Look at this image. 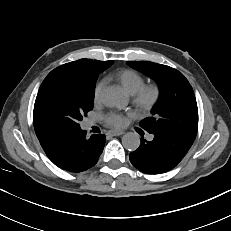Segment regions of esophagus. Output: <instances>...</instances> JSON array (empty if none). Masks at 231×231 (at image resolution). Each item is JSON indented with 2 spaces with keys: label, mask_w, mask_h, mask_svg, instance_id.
Returning <instances> with one entry per match:
<instances>
[{
  "label": "esophagus",
  "mask_w": 231,
  "mask_h": 231,
  "mask_svg": "<svg viewBox=\"0 0 231 231\" xmlns=\"http://www.w3.org/2000/svg\"><path fill=\"white\" fill-rule=\"evenodd\" d=\"M122 134H124V131H109L108 132V135H110V136H120V135H122Z\"/></svg>",
  "instance_id": "1"
}]
</instances>
